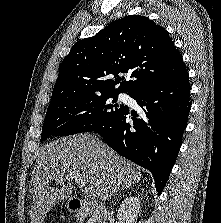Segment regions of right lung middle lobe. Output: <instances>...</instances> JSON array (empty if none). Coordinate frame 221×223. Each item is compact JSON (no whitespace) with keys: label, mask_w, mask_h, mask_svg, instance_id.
I'll return each instance as SVG.
<instances>
[{"label":"right lung middle lobe","mask_w":221,"mask_h":223,"mask_svg":"<svg viewBox=\"0 0 221 223\" xmlns=\"http://www.w3.org/2000/svg\"><path fill=\"white\" fill-rule=\"evenodd\" d=\"M117 95L83 94L51 102L43 124L41 141L50 135L68 136L89 132L107 124L126 107L116 104Z\"/></svg>","instance_id":"obj_1"}]
</instances>
